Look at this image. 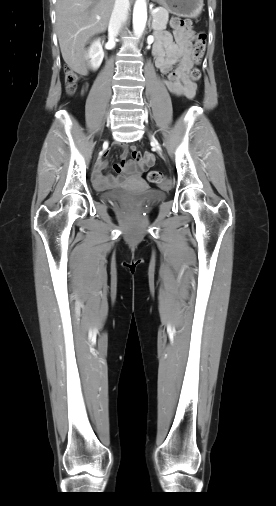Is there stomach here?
Returning <instances> with one entry per match:
<instances>
[{
  "instance_id": "obj_1",
  "label": "stomach",
  "mask_w": 276,
  "mask_h": 506,
  "mask_svg": "<svg viewBox=\"0 0 276 506\" xmlns=\"http://www.w3.org/2000/svg\"><path fill=\"white\" fill-rule=\"evenodd\" d=\"M166 10L181 17H197L204 6L203 0H155Z\"/></svg>"
}]
</instances>
